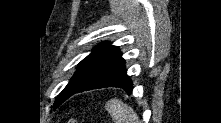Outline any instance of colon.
Here are the masks:
<instances>
[{
    "mask_svg": "<svg viewBox=\"0 0 221 123\" xmlns=\"http://www.w3.org/2000/svg\"><path fill=\"white\" fill-rule=\"evenodd\" d=\"M69 122H72V123H73V122H77V121H76V120H70Z\"/></svg>",
    "mask_w": 221,
    "mask_h": 123,
    "instance_id": "colon-1",
    "label": "colon"
}]
</instances>
